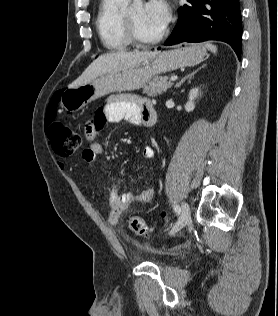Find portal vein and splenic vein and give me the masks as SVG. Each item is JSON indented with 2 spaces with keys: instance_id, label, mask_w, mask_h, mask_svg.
<instances>
[{
  "instance_id": "obj_1",
  "label": "portal vein and splenic vein",
  "mask_w": 278,
  "mask_h": 316,
  "mask_svg": "<svg viewBox=\"0 0 278 316\" xmlns=\"http://www.w3.org/2000/svg\"><path fill=\"white\" fill-rule=\"evenodd\" d=\"M177 79H178L177 76H173V77L170 78V81H176Z\"/></svg>"
}]
</instances>
